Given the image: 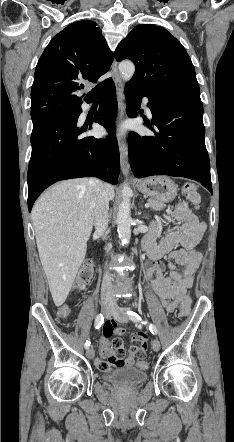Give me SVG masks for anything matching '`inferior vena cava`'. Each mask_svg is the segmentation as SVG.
<instances>
[{
    "instance_id": "1",
    "label": "inferior vena cava",
    "mask_w": 234,
    "mask_h": 442,
    "mask_svg": "<svg viewBox=\"0 0 234 442\" xmlns=\"http://www.w3.org/2000/svg\"><path fill=\"white\" fill-rule=\"evenodd\" d=\"M90 187L92 190V202L91 206L94 213V226L95 231L98 235L104 236L108 228V210H109V198L105 191L104 183L97 179L91 178L89 180ZM111 246H106L105 250L108 252ZM113 277L106 271L103 276V282L101 287V297L102 299L113 301Z\"/></svg>"
}]
</instances>
